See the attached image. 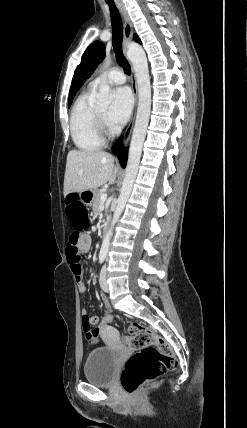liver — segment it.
I'll return each instance as SVG.
<instances>
[{
  "label": "liver",
  "mask_w": 247,
  "mask_h": 428,
  "mask_svg": "<svg viewBox=\"0 0 247 428\" xmlns=\"http://www.w3.org/2000/svg\"><path fill=\"white\" fill-rule=\"evenodd\" d=\"M118 170L111 154L101 150H71L67 155L64 196L115 183Z\"/></svg>",
  "instance_id": "1"
}]
</instances>
